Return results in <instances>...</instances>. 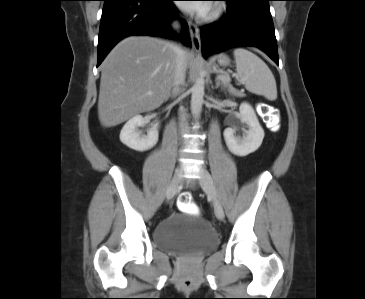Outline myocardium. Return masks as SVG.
Listing matches in <instances>:
<instances>
[{
    "mask_svg": "<svg viewBox=\"0 0 365 299\" xmlns=\"http://www.w3.org/2000/svg\"><path fill=\"white\" fill-rule=\"evenodd\" d=\"M225 10L226 8L222 3H214L202 14L201 18L206 22L215 21L224 14Z\"/></svg>",
    "mask_w": 365,
    "mask_h": 299,
    "instance_id": "1",
    "label": "myocardium"
}]
</instances>
